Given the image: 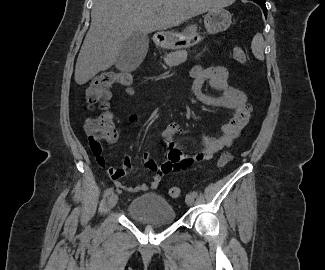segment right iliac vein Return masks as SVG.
Wrapping results in <instances>:
<instances>
[{
    "label": "right iliac vein",
    "instance_id": "right-iliac-vein-1",
    "mask_svg": "<svg viewBox=\"0 0 325 270\" xmlns=\"http://www.w3.org/2000/svg\"><path fill=\"white\" fill-rule=\"evenodd\" d=\"M117 202H118V195L112 194L107 200L106 209H111L116 205Z\"/></svg>",
    "mask_w": 325,
    "mask_h": 270
}]
</instances>
